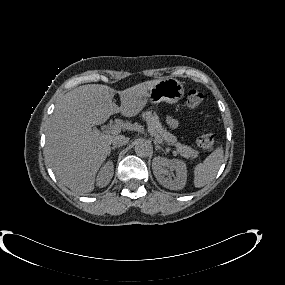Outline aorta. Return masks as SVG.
Instances as JSON below:
<instances>
[{
	"instance_id": "1",
	"label": "aorta",
	"mask_w": 285,
	"mask_h": 285,
	"mask_svg": "<svg viewBox=\"0 0 285 285\" xmlns=\"http://www.w3.org/2000/svg\"><path fill=\"white\" fill-rule=\"evenodd\" d=\"M152 147L145 140H137L135 143V153L140 157H148L151 154Z\"/></svg>"
}]
</instances>
